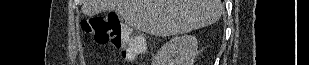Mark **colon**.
Wrapping results in <instances>:
<instances>
[{
  "label": "colon",
  "mask_w": 309,
  "mask_h": 65,
  "mask_svg": "<svg viewBox=\"0 0 309 65\" xmlns=\"http://www.w3.org/2000/svg\"><path fill=\"white\" fill-rule=\"evenodd\" d=\"M81 30L99 45L111 44L124 60H132L145 49L141 39L113 16H92L81 21Z\"/></svg>",
  "instance_id": "colon-1"
}]
</instances>
